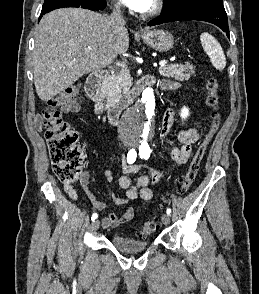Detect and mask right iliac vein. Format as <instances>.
<instances>
[{
	"mask_svg": "<svg viewBox=\"0 0 259 294\" xmlns=\"http://www.w3.org/2000/svg\"><path fill=\"white\" fill-rule=\"evenodd\" d=\"M100 221L99 220H94L91 224V229L96 231L99 228Z\"/></svg>",
	"mask_w": 259,
	"mask_h": 294,
	"instance_id": "obj_1",
	"label": "right iliac vein"
}]
</instances>
